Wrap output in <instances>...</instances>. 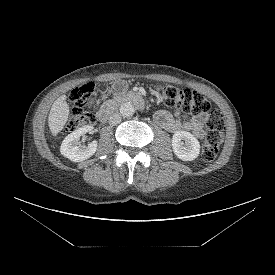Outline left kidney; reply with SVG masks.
<instances>
[{"mask_svg": "<svg viewBox=\"0 0 275 275\" xmlns=\"http://www.w3.org/2000/svg\"><path fill=\"white\" fill-rule=\"evenodd\" d=\"M172 148L174 154L183 161H192L200 153L199 141L187 131H177L174 133Z\"/></svg>", "mask_w": 275, "mask_h": 275, "instance_id": "obj_1", "label": "left kidney"}]
</instances>
